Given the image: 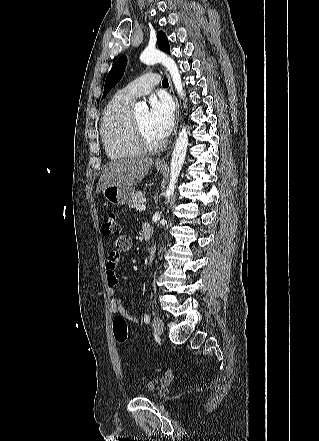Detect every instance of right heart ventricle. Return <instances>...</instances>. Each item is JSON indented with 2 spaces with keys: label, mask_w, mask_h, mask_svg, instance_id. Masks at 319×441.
<instances>
[{
  "label": "right heart ventricle",
  "mask_w": 319,
  "mask_h": 441,
  "mask_svg": "<svg viewBox=\"0 0 319 441\" xmlns=\"http://www.w3.org/2000/svg\"><path fill=\"white\" fill-rule=\"evenodd\" d=\"M133 101L115 95L107 104L100 126L105 151L112 159L132 158L140 155L132 130Z\"/></svg>",
  "instance_id": "obj_1"
}]
</instances>
